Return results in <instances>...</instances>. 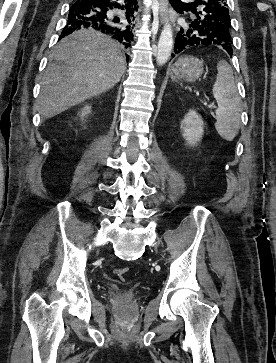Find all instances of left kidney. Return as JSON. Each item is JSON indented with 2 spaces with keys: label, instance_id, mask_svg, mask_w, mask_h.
Masks as SVG:
<instances>
[{
  "label": "left kidney",
  "instance_id": "obj_1",
  "mask_svg": "<svg viewBox=\"0 0 276 363\" xmlns=\"http://www.w3.org/2000/svg\"><path fill=\"white\" fill-rule=\"evenodd\" d=\"M184 139L194 146L200 141L204 133V122L198 113L190 110L181 122Z\"/></svg>",
  "mask_w": 276,
  "mask_h": 363
}]
</instances>
